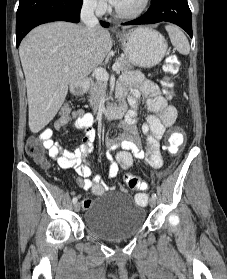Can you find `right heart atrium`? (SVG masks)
<instances>
[{"instance_id":"right-heart-atrium-1","label":"right heart atrium","mask_w":227,"mask_h":279,"mask_svg":"<svg viewBox=\"0 0 227 279\" xmlns=\"http://www.w3.org/2000/svg\"><path fill=\"white\" fill-rule=\"evenodd\" d=\"M83 4L90 10L102 14L106 8V0H82Z\"/></svg>"}]
</instances>
